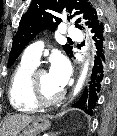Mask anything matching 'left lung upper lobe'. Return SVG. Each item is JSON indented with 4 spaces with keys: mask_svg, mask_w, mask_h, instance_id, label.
<instances>
[{
    "mask_svg": "<svg viewBox=\"0 0 117 136\" xmlns=\"http://www.w3.org/2000/svg\"><path fill=\"white\" fill-rule=\"evenodd\" d=\"M66 8L69 13L76 10L75 14H83L86 24L92 28L100 23L96 10L87 0H32L27 12L22 16L19 29L13 38L12 49L9 55L8 67H10L20 55L24 47L40 32L45 29L54 31L62 21L61 18L51 14L52 11L61 13ZM68 16V20L72 18ZM80 18L75 22L77 28ZM68 55H72V48L66 44L63 46Z\"/></svg>",
    "mask_w": 117,
    "mask_h": 136,
    "instance_id": "5c2ea615",
    "label": "left lung upper lobe"
}]
</instances>
